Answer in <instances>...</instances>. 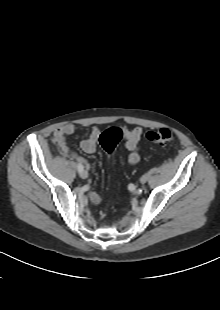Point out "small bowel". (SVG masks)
<instances>
[{
    "label": "small bowel",
    "mask_w": 220,
    "mask_h": 310,
    "mask_svg": "<svg viewBox=\"0 0 220 310\" xmlns=\"http://www.w3.org/2000/svg\"><path fill=\"white\" fill-rule=\"evenodd\" d=\"M76 127L73 124H66L57 128L53 134V142L56 147L66 156L76 159L79 163L83 164L86 169L90 168V164L83 157L77 155L72 151L67 144V137L74 134ZM123 137L125 139V148L129 151L128 162L135 165L140 160L139 143L142 138L143 131L140 127L122 128ZM100 136V130L97 127L92 128L90 134L81 141L80 147L85 153H93L96 150L97 142ZM90 201L98 204L101 197L97 193L89 195Z\"/></svg>",
    "instance_id": "small-bowel-1"
}]
</instances>
